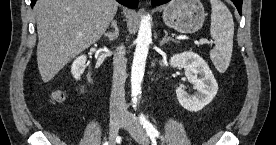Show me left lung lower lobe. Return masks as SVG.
<instances>
[{"mask_svg":"<svg viewBox=\"0 0 276 145\" xmlns=\"http://www.w3.org/2000/svg\"><path fill=\"white\" fill-rule=\"evenodd\" d=\"M170 0H152V5L158 6L164 3H167ZM242 1L243 0H232V2L235 4L236 8L238 9L239 14H242Z\"/></svg>","mask_w":276,"mask_h":145,"instance_id":"left-lung-lower-lobe-1","label":"left lung lower lobe"}]
</instances>
